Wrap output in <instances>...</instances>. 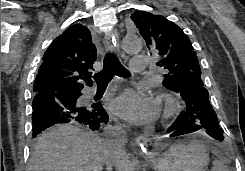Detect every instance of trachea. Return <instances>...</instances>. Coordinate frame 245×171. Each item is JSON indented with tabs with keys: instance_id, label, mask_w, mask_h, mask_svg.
Returning a JSON list of instances; mask_svg holds the SVG:
<instances>
[{
	"instance_id": "obj_1",
	"label": "trachea",
	"mask_w": 245,
	"mask_h": 171,
	"mask_svg": "<svg viewBox=\"0 0 245 171\" xmlns=\"http://www.w3.org/2000/svg\"><path fill=\"white\" fill-rule=\"evenodd\" d=\"M114 75L127 78L131 74L115 54L109 53L104 58L102 71L95 74L94 79L98 86H107Z\"/></svg>"
}]
</instances>
